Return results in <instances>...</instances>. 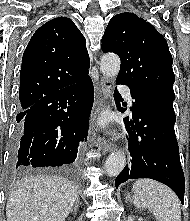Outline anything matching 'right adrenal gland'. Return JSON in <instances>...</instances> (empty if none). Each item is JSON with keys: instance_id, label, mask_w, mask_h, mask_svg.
I'll return each instance as SVG.
<instances>
[{"instance_id": "obj_1", "label": "right adrenal gland", "mask_w": 190, "mask_h": 221, "mask_svg": "<svg viewBox=\"0 0 190 221\" xmlns=\"http://www.w3.org/2000/svg\"><path fill=\"white\" fill-rule=\"evenodd\" d=\"M79 203H80V199H79V196L77 197L76 201H75V205L74 207L72 208L71 212H73L74 215L77 214V210H78V207H79Z\"/></svg>"}]
</instances>
